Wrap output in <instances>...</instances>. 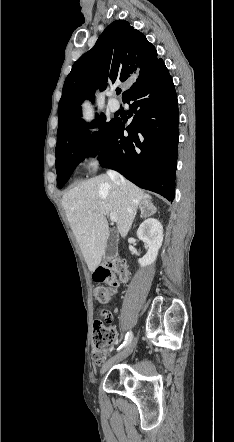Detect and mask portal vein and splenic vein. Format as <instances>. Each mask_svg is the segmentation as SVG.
Wrapping results in <instances>:
<instances>
[{
	"mask_svg": "<svg viewBox=\"0 0 234 442\" xmlns=\"http://www.w3.org/2000/svg\"><path fill=\"white\" fill-rule=\"evenodd\" d=\"M110 219L112 222H117V220H118L117 215L115 213L110 214Z\"/></svg>",
	"mask_w": 234,
	"mask_h": 442,
	"instance_id": "portal-vein-and-splenic-vein-1",
	"label": "portal vein and splenic vein"
}]
</instances>
